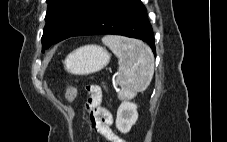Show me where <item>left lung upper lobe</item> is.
<instances>
[{
  "label": "left lung upper lobe",
  "instance_id": "left-lung-upper-lobe-1",
  "mask_svg": "<svg viewBox=\"0 0 227 142\" xmlns=\"http://www.w3.org/2000/svg\"><path fill=\"white\" fill-rule=\"evenodd\" d=\"M46 25L42 49L71 37L84 26L109 0H46Z\"/></svg>",
  "mask_w": 227,
  "mask_h": 142
}]
</instances>
